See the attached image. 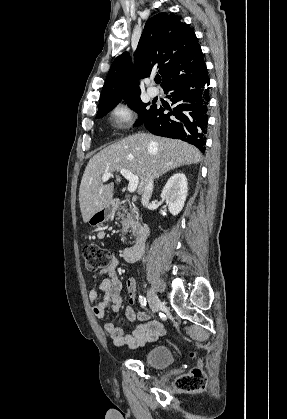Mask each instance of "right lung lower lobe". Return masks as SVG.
<instances>
[{
	"label": "right lung lower lobe",
	"instance_id": "right-lung-lower-lobe-1",
	"mask_svg": "<svg viewBox=\"0 0 287 419\" xmlns=\"http://www.w3.org/2000/svg\"><path fill=\"white\" fill-rule=\"evenodd\" d=\"M172 105L157 106L143 125L151 133L181 139L205 151L208 124L209 78L207 69L198 75L163 87ZM165 109L170 112L165 114Z\"/></svg>",
	"mask_w": 287,
	"mask_h": 419
}]
</instances>
